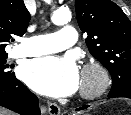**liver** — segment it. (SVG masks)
<instances>
[{"label":"liver","instance_id":"liver-1","mask_svg":"<svg viewBox=\"0 0 131 115\" xmlns=\"http://www.w3.org/2000/svg\"><path fill=\"white\" fill-rule=\"evenodd\" d=\"M0 115H14L12 112L0 107Z\"/></svg>","mask_w":131,"mask_h":115}]
</instances>
